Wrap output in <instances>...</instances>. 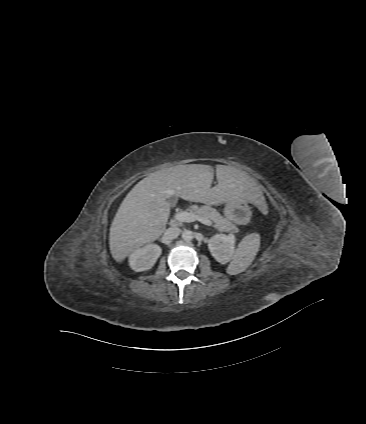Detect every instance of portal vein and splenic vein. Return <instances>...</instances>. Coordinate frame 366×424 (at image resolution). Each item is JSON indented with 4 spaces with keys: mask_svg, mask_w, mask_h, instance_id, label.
I'll use <instances>...</instances> for the list:
<instances>
[{
    "mask_svg": "<svg viewBox=\"0 0 366 424\" xmlns=\"http://www.w3.org/2000/svg\"><path fill=\"white\" fill-rule=\"evenodd\" d=\"M173 218H174V220L179 221V222L191 223V222H194V221H199V222H201V223H203L207 226L212 225V222L208 218L201 217V216H199L196 213L191 212V211L190 212L182 211V212L176 213Z\"/></svg>",
    "mask_w": 366,
    "mask_h": 424,
    "instance_id": "portal-vein-and-splenic-vein-1",
    "label": "portal vein and splenic vein"
}]
</instances>
